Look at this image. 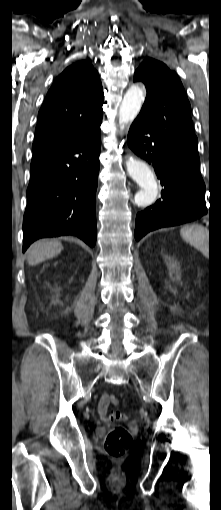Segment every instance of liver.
<instances>
[{"label":"liver","mask_w":221,"mask_h":510,"mask_svg":"<svg viewBox=\"0 0 221 510\" xmlns=\"http://www.w3.org/2000/svg\"><path fill=\"white\" fill-rule=\"evenodd\" d=\"M62 249V243L59 241H38L30 247L27 262L32 266L37 265L49 258L55 257Z\"/></svg>","instance_id":"obj_1"}]
</instances>
